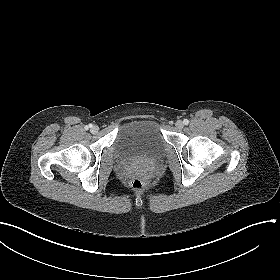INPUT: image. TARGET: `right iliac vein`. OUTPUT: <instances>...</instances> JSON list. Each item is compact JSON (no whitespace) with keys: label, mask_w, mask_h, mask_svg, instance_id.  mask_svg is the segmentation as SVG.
I'll list each match as a JSON object with an SVG mask.
<instances>
[{"label":"right iliac vein","mask_w":280,"mask_h":280,"mask_svg":"<svg viewBox=\"0 0 280 280\" xmlns=\"http://www.w3.org/2000/svg\"><path fill=\"white\" fill-rule=\"evenodd\" d=\"M98 131H99V127L98 126L95 125V126L91 127V132L92 133H97Z\"/></svg>","instance_id":"right-iliac-vein-1"}]
</instances>
